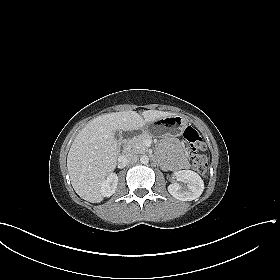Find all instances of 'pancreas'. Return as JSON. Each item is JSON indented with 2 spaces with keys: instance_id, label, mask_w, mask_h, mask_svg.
I'll return each instance as SVG.
<instances>
[{
  "instance_id": "1",
  "label": "pancreas",
  "mask_w": 280,
  "mask_h": 280,
  "mask_svg": "<svg viewBox=\"0 0 280 280\" xmlns=\"http://www.w3.org/2000/svg\"><path fill=\"white\" fill-rule=\"evenodd\" d=\"M150 135L147 133H142L128 141L127 147L134 153L143 154L147 152V147L144 142L149 139Z\"/></svg>"
}]
</instances>
